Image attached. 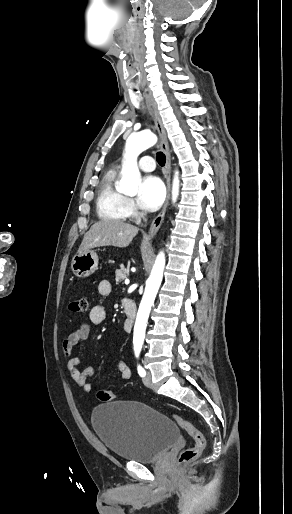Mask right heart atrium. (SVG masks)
Returning a JSON list of instances; mask_svg holds the SVG:
<instances>
[{
  "instance_id": "1",
  "label": "right heart atrium",
  "mask_w": 292,
  "mask_h": 514,
  "mask_svg": "<svg viewBox=\"0 0 292 514\" xmlns=\"http://www.w3.org/2000/svg\"><path fill=\"white\" fill-rule=\"evenodd\" d=\"M129 207H133V203L132 202H129Z\"/></svg>"
}]
</instances>
